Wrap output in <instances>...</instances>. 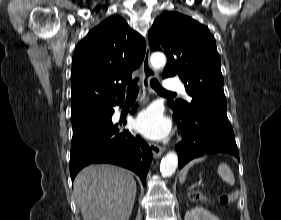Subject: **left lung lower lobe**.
Segmentation results:
<instances>
[{"label": "left lung lower lobe", "mask_w": 281, "mask_h": 220, "mask_svg": "<svg viewBox=\"0 0 281 220\" xmlns=\"http://www.w3.org/2000/svg\"><path fill=\"white\" fill-rule=\"evenodd\" d=\"M171 108L183 137V141L176 146L179 169L190 160L204 154L222 152L239 159L234 132L227 118L226 110L207 107L186 114L173 106Z\"/></svg>", "instance_id": "obj_1"}]
</instances>
